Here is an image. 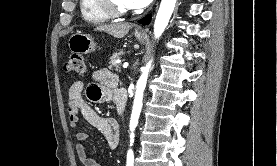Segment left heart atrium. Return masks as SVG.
I'll list each match as a JSON object with an SVG mask.
<instances>
[{"label": "left heart atrium", "mask_w": 277, "mask_h": 166, "mask_svg": "<svg viewBox=\"0 0 277 166\" xmlns=\"http://www.w3.org/2000/svg\"><path fill=\"white\" fill-rule=\"evenodd\" d=\"M128 8L140 9L151 3L152 0H124Z\"/></svg>", "instance_id": "obj_1"}]
</instances>
